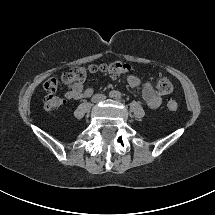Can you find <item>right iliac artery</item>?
I'll return each instance as SVG.
<instances>
[{"mask_svg":"<svg viewBox=\"0 0 215 215\" xmlns=\"http://www.w3.org/2000/svg\"><path fill=\"white\" fill-rule=\"evenodd\" d=\"M114 96H115L114 92H110V93H109V97L112 98V97H114Z\"/></svg>","mask_w":215,"mask_h":215,"instance_id":"obj_1","label":"right iliac artery"}]
</instances>
